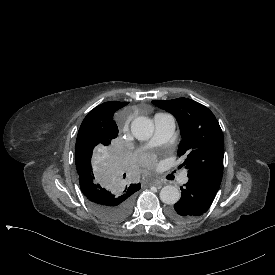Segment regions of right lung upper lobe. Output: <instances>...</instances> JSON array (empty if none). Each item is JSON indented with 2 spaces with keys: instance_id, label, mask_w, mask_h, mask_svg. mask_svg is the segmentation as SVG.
Returning a JSON list of instances; mask_svg holds the SVG:
<instances>
[{
  "instance_id": "obj_1",
  "label": "right lung upper lobe",
  "mask_w": 275,
  "mask_h": 275,
  "mask_svg": "<svg viewBox=\"0 0 275 275\" xmlns=\"http://www.w3.org/2000/svg\"><path fill=\"white\" fill-rule=\"evenodd\" d=\"M128 103L129 102L118 101L103 103L87 114L81 126L96 133L100 138V143L102 137L106 134H113L117 137L118 127L113 120V115L118 109L124 107ZM140 188V184H131L130 186L126 187L125 190L136 192Z\"/></svg>"
}]
</instances>
